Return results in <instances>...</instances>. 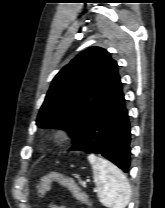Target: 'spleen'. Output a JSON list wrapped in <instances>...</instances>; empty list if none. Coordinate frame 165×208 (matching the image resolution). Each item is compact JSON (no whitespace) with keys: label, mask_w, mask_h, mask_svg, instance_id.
<instances>
[{"label":"spleen","mask_w":165,"mask_h":208,"mask_svg":"<svg viewBox=\"0 0 165 208\" xmlns=\"http://www.w3.org/2000/svg\"><path fill=\"white\" fill-rule=\"evenodd\" d=\"M97 185L99 201L108 208H125L131 197V188L126 176L113 163L97 157L88 156Z\"/></svg>","instance_id":"3e777b00"}]
</instances>
